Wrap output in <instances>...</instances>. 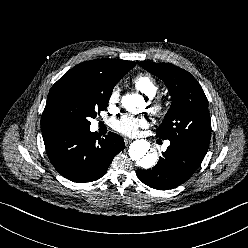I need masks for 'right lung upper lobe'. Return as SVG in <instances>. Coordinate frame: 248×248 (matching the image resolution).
<instances>
[{"mask_svg": "<svg viewBox=\"0 0 248 248\" xmlns=\"http://www.w3.org/2000/svg\"><path fill=\"white\" fill-rule=\"evenodd\" d=\"M135 65L136 63L132 61L106 58L95 59L76 65L61 78L100 76L117 83Z\"/></svg>", "mask_w": 248, "mask_h": 248, "instance_id": "cb5924a9", "label": "right lung upper lobe"}]
</instances>
